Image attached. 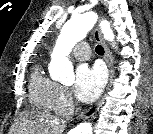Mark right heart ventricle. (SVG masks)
I'll use <instances>...</instances> for the list:
<instances>
[{"instance_id": "1", "label": "right heart ventricle", "mask_w": 153, "mask_h": 134, "mask_svg": "<svg viewBox=\"0 0 153 134\" xmlns=\"http://www.w3.org/2000/svg\"><path fill=\"white\" fill-rule=\"evenodd\" d=\"M57 84L45 76L40 64H37L31 74L30 100L39 108L55 110L54 100Z\"/></svg>"}]
</instances>
